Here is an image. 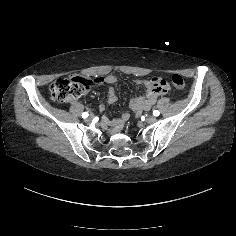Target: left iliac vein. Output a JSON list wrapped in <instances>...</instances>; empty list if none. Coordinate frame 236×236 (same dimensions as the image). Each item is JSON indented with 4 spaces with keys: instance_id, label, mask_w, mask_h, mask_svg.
I'll return each instance as SVG.
<instances>
[{
    "instance_id": "left-iliac-vein-1",
    "label": "left iliac vein",
    "mask_w": 236,
    "mask_h": 236,
    "mask_svg": "<svg viewBox=\"0 0 236 236\" xmlns=\"http://www.w3.org/2000/svg\"><path fill=\"white\" fill-rule=\"evenodd\" d=\"M156 121V117L153 115L147 116L146 117V122L147 123H154Z\"/></svg>"
}]
</instances>
